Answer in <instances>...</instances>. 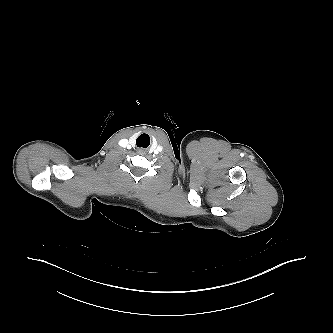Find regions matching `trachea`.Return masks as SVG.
Here are the masks:
<instances>
[{
  "mask_svg": "<svg viewBox=\"0 0 333 333\" xmlns=\"http://www.w3.org/2000/svg\"><path fill=\"white\" fill-rule=\"evenodd\" d=\"M143 136H145V135H141V136H139L138 139H140V138L143 137ZM138 139H137V141H138Z\"/></svg>",
  "mask_w": 333,
  "mask_h": 333,
  "instance_id": "obj_1",
  "label": "trachea"
}]
</instances>
